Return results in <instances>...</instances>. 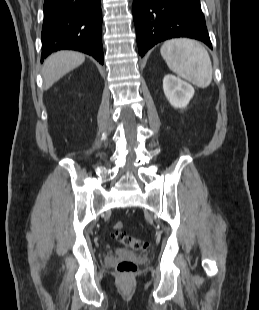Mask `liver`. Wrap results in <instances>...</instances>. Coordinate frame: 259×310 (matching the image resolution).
I'll use <instances>...</instances> for the list:
<instances>
[{
	"mask_svg": "<svg viewBox=\"0 0 259 310\" xmlns=\"http://www.w3.org/2000/svg\"><path fill=\"white\" fill-rule=\"evenodd\" d=\"M85 61L82 53L59 51L50 55L44 62L42 75L47 88Z\"/></svg>",
	"mask_w": 259,
	"mask_h": 310,
	"instance_id": "6515ba94",
	"label": "liver"
}]
</instances>
